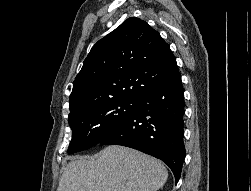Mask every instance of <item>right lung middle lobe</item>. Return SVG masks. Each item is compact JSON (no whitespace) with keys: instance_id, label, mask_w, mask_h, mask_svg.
<instances>
[{"instance_id":"right-lung-middle-lobe-1","label":"right lung middle lobe","mask_w":251,"mask_h":191,"mask_svg":"<svg viewBox=\"0 0 251 191\" xmlns=\"http://www.w3.org/2000/svg\"><path fill=\"white\" fill-rule=\"evenodd\" d=\"M136 108L135 100L119 99L70 109L68 117L72 140L67 152L71 154L99 144L126 121Z\"/></svg>"}]
</instances>
